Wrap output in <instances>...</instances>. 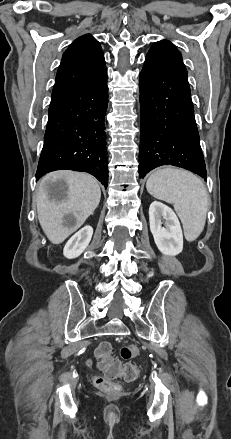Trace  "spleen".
<instances>
[{
	"label": "spleen",
	"instance_id": "1",
	"mask_svg": "<svg viewBox=\"0 0 231 439\" xmlns=\"http://www.w3.org/2000/svg\"><path fill=\"white\" fill-rule=\"evenodd\" d=\"M146 188L153 197L174 204L188 241L201 234L206 222L208 196L196 175L180 169H158L148 178Z\"/></svg>",
	"mask_w": 231,
	"mask_h": 439
}]
</instances>
